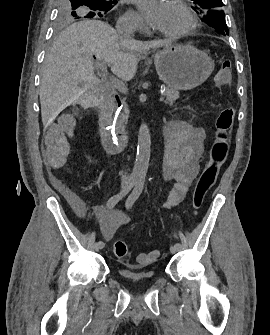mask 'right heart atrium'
<instances>
[{"label": "right heart atrium", "instance_id": "obj_1", "mask_svg": "<svg viewBox=\"0 0 270 335\" xmlns=\"http://www.w3.org/2000/svg\"><path fill=\"white\" fill-rule=\"evenodd\" d=\"M117 25H138V32L137 33H143L144 32V23L140 17V15L132 10H127L118 20Z\"/></svg>", "mask_w": 270, "mask_h": 335}]
</instances>
